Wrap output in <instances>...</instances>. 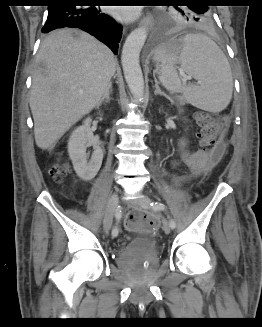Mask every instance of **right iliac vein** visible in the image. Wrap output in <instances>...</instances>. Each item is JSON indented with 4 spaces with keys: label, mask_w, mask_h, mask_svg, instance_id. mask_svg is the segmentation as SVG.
Wrapping results in <instances>:
<instances>
[{
    "label": "right iliac vein",
    "mask_w": 262,
    "mask_h": 327,
    "mask_svg": "<svg viewBox=\"0 0 262 327\" xmlns=\"http://www.w3.org/2000/svg\"><path fill=\"white\" fill-rule=\"evenodd\" d=\"M118 203H119V197L118 194L115 192L109 198L107 210L104 216L103 227L105 231H108L112 226L113 217L115 214V210L118 206Z\"/></svg>",
    "instance_id": "1"
}]
</instances>
